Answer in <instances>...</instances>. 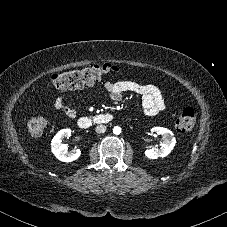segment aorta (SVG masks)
<instances>
[{"label":"aorta","instance_id":"1","mask_svg":"<svg viewBox=\"0 0 227 227\" xmlns=\"http://www.w3.org/2000/svg\"><path fill=\"white\" fill-rule=\"evenodd\" d=\"M113 133L119 135L121 133V128L119 126L114 127Z\"/></svg>","mask_w":227,"mask_h":227}]
</instances>
